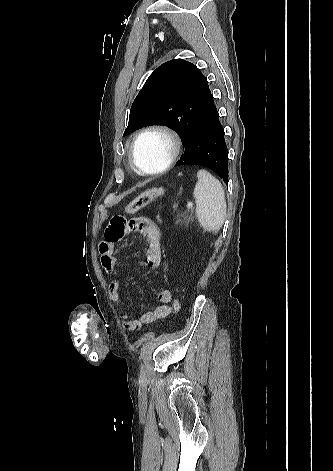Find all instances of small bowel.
<instances>
[{"label": "small bowel", "mask_w": 333, "mask_h": 471, "mask_svg": "<svg viewBox=\"0 0 333 471\" xmlns=\"http://www.w3.org/2000/svg\"><path fill=\"white\" fill-rule=\"evenodd\" d=\"M132 232L138 233L144 241V263L147 267L157 268L161 263V232L158 227L146 217H136L127 221L122 215H113L107 225L105 238L99 245L101 264L107 273H113L117 266V251L124 237ZM122 280L113 279L109 284V298L113 304H122L120 288ZM157 300L159 305L151 311L143 314L138 319H131L123 315V327L128 332H136L159 320L166 318L172 311V293L169 290H161Z\"/></svg>", "instance_id": "1"}]
</instances>
